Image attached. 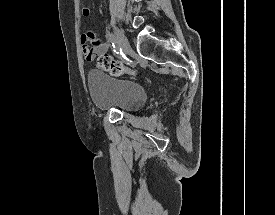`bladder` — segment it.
I'll use <instances>...</instances> for the list:
<instances>
[{
  "label": "bladder",
  "instance_id": "bladder-1",
  "mask_svg": "<svg viewBox=\"0 0 275 215\" xmlns=\"http://www.w3.org/2000/svg\"><path fill=\"white\" fill-rule=\"evenodd\" d=\"M87 82L93 104L100 110L133 112L144 106L148 99L147 91L140 83L111 77L99 70H90Z\"/></svg>",
  "mask_w": 275,
  "mask_h": 215
}]
</instances>
